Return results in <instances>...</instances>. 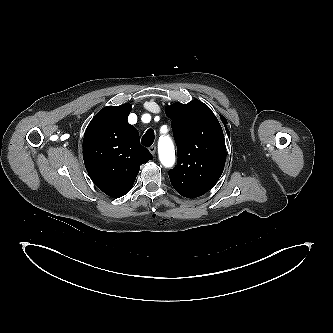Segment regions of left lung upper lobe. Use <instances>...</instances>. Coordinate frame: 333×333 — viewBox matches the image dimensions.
Segmentation results:
<instances>
[{
    "label": "left lung upper lobe",
    "instance_id": "left-lung-upper-lobe-1",
    "mask_svg": "<svg viewBox=\"0 0 333 333\" xmlns=\"http://www.w3.org/2000/svg\"><path fill=\"white\" fill-rule=\"evenodd\" d=\"M172 119L178 161L169 178L182 196L196 198L220 178L226 161L224 134L211 109L199 100L165 108Z\"/></svg>",
    "mask_w": 333,
    "mask_h": 333
}]
</instances>
